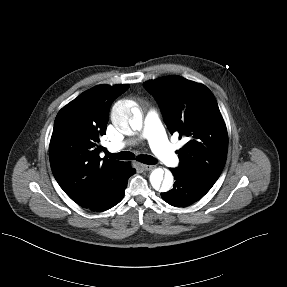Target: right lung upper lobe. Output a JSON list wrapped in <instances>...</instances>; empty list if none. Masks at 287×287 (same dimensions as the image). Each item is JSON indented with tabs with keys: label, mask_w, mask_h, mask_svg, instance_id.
<instances>
[{
	"label": "right lung upper lobe",
	"mask_w": 287,
	"mask_h": 287,
	"mask_svg": "<svg viewBox=\"0 0 287 287\" xmlns=\"http://www.w3.org/2000/svg\"><path fill=\"white\" fill-rule=\"evenodd\" d=\"M129 88L127 84L99 85L64 106L54 122L49 145L53 175L78 205L96 203L125 174L127 163L103 159L99 137L106 134L112 102Z\"/></svg>",
	"instance_id": "right-lung-upper-lobe-1"
}]
</instances>
